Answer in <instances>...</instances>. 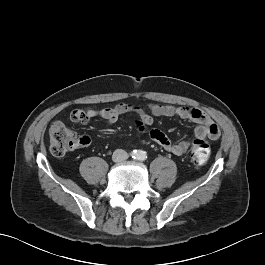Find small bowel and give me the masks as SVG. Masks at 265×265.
Masks as SVG:
<instances>
[{
  "label": "small bowel",
  "mask_w": 265,
  "mask_h": 265,
  "mask_svg": "<svg viewBox=\"0 0 265 265\" xmlns=\"http://www.w3.org/2000/svg\"><path fill=\"white\" fill-rule=\"evenodd\" d=\"M128 113L138 116V119L134 121V126L138 131H143L146 125L152 124L155 116H176L195 122L197 124L195 136L198 138L207 137L214 140L220 134L218 126L204 111L191 107H178L161 103H149L147 110L131 103H118L113 107L103 109L93 107L76 109L71 112L70 118L75 123L87 124L91 118L100 116L108 125H112L118 121L120 116ZM149 136L155 143L173 155H183L190 147L189 141L173 142L164 132L158 129H152L149 132ZM81 144L84 146L89 145L90 139L87 136L82 137Z\"/></svg>",
  "instance_id": "small-bowel-1"
}]
</instances>
